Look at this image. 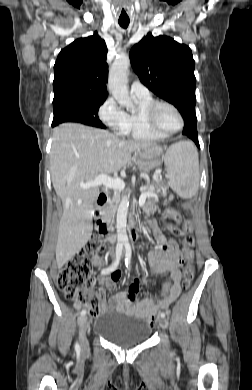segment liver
<instances>
[{
	"instance_id": "6515ba94",
	"label": "liver",
	"mask_w": 252,
	"mask_h": 390,
	"mask_svg": "<svg viewBox=\"0 0 252 390\" xmlns=\"http://www.w3.org/2000/svg\"><path fill=\"white\" fill-rule=\"evenodd\" d=\"M147 148L162 150L151 142L120 140L106 130L78 123L54 128L50 171L64 208L56 244L58 268L72 259L92 234L93 203L99 190L84 189L80 184L94 180L99 174L118 172L130 162L133 152Z\"/></svg>"
}]
</instances>
